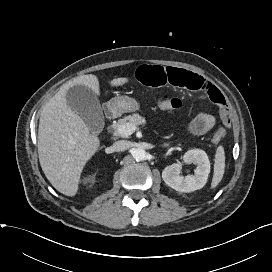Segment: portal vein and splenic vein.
<instances>
[{
  "label": "portal vein and splenic vein",
  "mask_w": 272,
  "mask_h": 272,
  "mask_svg": "<svg viewBox=\"0 0 272 272\" xmlns=\"http://www.w3.org/2000/svg\"><path fill=\"white\" fill-rule=\"evenodd\" d=\"M137 130V127L131 123L121 125L117 129V133L123 136H129Z\"/></svg>",
  "instance_id": "1"
}]
</instances>
